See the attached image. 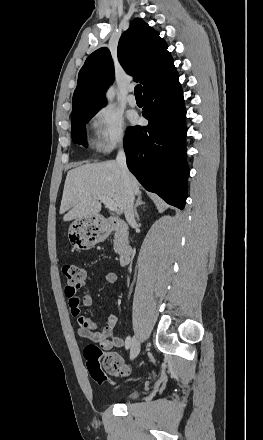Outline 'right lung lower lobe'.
<instances>
[{"label":"right lung lower lobe","instance_id":"98d812e1","mask_svg":"<svg viewBox=\"0 0 263 440\" xmlns=\"http://www.w3.org/2000/svg\"><path fill=\"white\" fill-rule=\"evenodd\" d=\"M147 126L127 129V166L143 187L167 203L183 209L189 168L183 92L177 71L144 92Z\"/></svg>","mask_w":263,"mask_h":440}]
</instances>
